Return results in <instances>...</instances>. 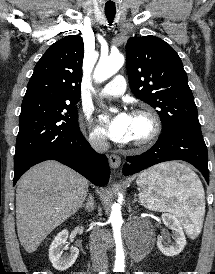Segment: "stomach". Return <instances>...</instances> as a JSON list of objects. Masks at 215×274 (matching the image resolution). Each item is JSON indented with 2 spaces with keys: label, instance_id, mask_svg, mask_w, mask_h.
I'll use <instances>...</instances> for the list:
<instances>
[{
  "label": "stomach",
  "instance_id": "0dacf381",
  "mask_svg": "<svg viewBox=\"0 0 215 274\" xmlns=\"http://www.w3.org/2000/svg\"><path fill=\"white\" fill-rule=\"evenodd\" d=\"M171 167H173L174 165H176L177 163H168Z\"/></svg>",
  "mask_w": 215,
  "mask_h": 274
}]
</instances>
